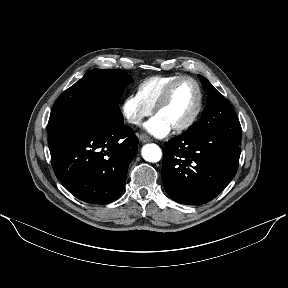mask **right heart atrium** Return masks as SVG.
<instances>
[{
  "label": "right heart atrium",
  "mask_w": 288,
  "mask_h": 288,
  "mask_svg": "<svg viewBox=\"0 0 288 288\" xmlns=\"http://www.w3.org/2000/svg\"><path fill=\"white\" fill-rule=\"evenodd\" d=\"M126 120L132 125H139L152 114V108L142 103L134 94L127 95L121 105Z\"/></svg>",
  "instance_id": "obj_1"
}]
</instances>
